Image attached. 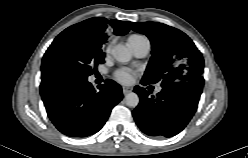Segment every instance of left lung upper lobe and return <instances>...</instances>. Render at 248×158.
I'll return each mask as SVG.
<instances>
[{"instance_id": "left-lung-upper-lobe-1", "label": "left lung upper lobe", "mask_w": 248, "mask_h": 158, "mask_svg": "<svg viewBox=\"0 0 248 158\" xmlns=\"http://www.w3.org/2000/svg\"><path fill=\"white\" fill-rule=\"evenodd\" d=\"M127 24L145 34L152 44V57L142 82L161 81L163 88L179 83L203 86L204 59L193 41L182 31L157 22Z\"/></svg>"}]
</instances>
